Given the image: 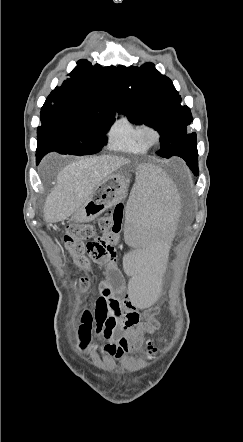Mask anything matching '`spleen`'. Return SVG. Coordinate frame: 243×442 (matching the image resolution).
<instances>
[{
  "label": "spleen",
  "instance_id": "obj_1",
  "mask_svg": "<svg viewBox=\"0 0 243 442\" xmlns=\"http://www.w3.org/2000/svg\"><path fill=\"white\" fill-rule=\"evenodd\" d=\"M136 181L128 193L125 205L127 222L123 235L134 253L128 254L124 266L132 282L126 288L133 307H152L159 301L164 286V268L171 258L172 242L176 235L172 226H182V217H176L180 194L172 178H164L155 163H140L135 171Z\"/></svg>",
  "mask_w": 243,
  "mask_h": 442
}]
</instances>
